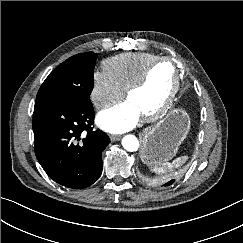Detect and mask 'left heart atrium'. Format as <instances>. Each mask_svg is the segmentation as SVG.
<instances>
[{
    "mask_svg": "<svg viewBox=\"0 0 243 243\" xmlns=\"http://www.w3.org/2000/svg\"><path fill=\"white\" fill-rule=\"evenodd\" d=\"M141 115V111L127 99L102 110L97 116V122L109 132L121 133L132 129Z\"/></svg>",
    "mask_w": 243,
    "mask_h": 243,
    "instance_id": "obj_1",
    "label": "left heart atrium"
}]
</instances>
